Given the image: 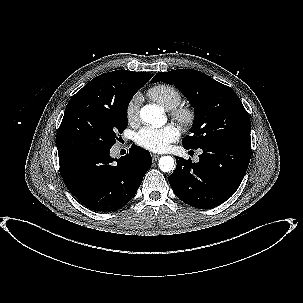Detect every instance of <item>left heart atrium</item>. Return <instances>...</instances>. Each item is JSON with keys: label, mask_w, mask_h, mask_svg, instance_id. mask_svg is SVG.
<instances>
[{"label": "left heart atrium", "mask_w": 303, "mask_h": 303, "mask_svg": "<svg viewBox=\"0 0 303 303\" xmlns=\"http://www.w3.org/2000/svg\"><path fill=\"white\" fill-rule=\"evenodd\" d=\"M179 135L178 128L171 124L160 128L144 127L136 134L135 142L146 150L164 152L178 140Z\"/></svg>", "instance_id": "39dd6f15"}]
</instances>
